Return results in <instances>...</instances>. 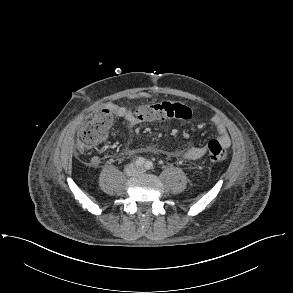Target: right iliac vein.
I'll use <instances>...</instances> for the list:
<instances>
[{
  "mask_svg": "<svg viewBox=\"0 0 293 293\" xmlns=\"http://www.w3.org/2000/svg\"><path fill=\"white\" fill-rule=\"evenodd\" d=\"M125 173L128 175V176H132L134 175L135 173V169L132 165H129L126 169H125Z\"/></svg>",
  "mask_w": 293,
  "mask_h": 293,
  "instance_id": "right-iliac-vein-1",
  "label": "right iliac vein"
}]
</instances>
